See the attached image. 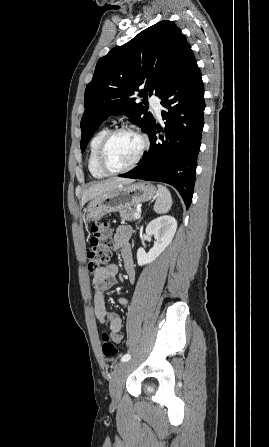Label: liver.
<instances>
[{
	"mask_svg": "<svg viewBox=\"0 0 269 447\" xmlns=\"http://www.w3.org/2000/svg\"><path fill=\"white\" fill-rule=\"evenodd\" d=\"M134 180H104V182H92L90 188L88 190H84L82 194V200H81V206L83 208L84 204L86 202H89V200H93V198H97V196H101V194H106V192H111V190H114V188H117V186H120V184H132Z\"/></svg>",
	"mask_w": 269,
	"mask_h": 447,
	"instance_id": "1",
	"label": "liver"
}]
</instances>
